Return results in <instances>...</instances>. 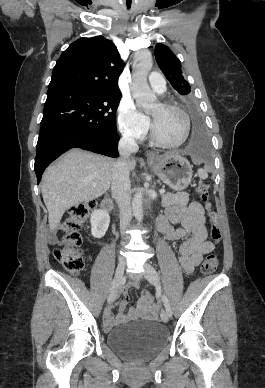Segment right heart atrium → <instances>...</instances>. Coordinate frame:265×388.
<instances>
[{"instance_id":"obj_1","label":"right heart atrium","mask_w":265,"mask_h":388,"mask_svg":"<svg viewBox=\"0 0 265 388\" xmlns=\"http://www.w3.org/2000/svg\"><path fill=\"white\" fill-rule=\"evenodd\" d=\"M119 117L124 130L133 138H144L151 128L149 118L137 109L131 99H122L119 105Z\"/></svg>"}]
</instances>
